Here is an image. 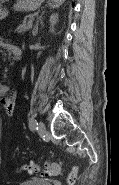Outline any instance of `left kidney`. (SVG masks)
Instances as JSON below:
<instances>
[{
    "instance_id": "obj_1",
    "label": "left kidney",
    "mask_w": 119,
    "mask_h": 185,
    "mask_svg": "<svg viewBox=\"0 0 119 185\" xmlns=\"http://www.w3.org/2000/svg\"><path fill=\"white\" fill-rule=\"evenodd\" d=\"M49 21H50V24H51L50 31H51V32H54V25H55V24L57 23V21H58V14H52V15L50 16Z\"/></svg>"
}]
</instances>
